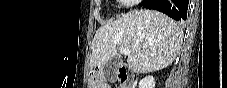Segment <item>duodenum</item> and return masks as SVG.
<instances>
[{
    "instance_id": "duodenum-1",
    "label": "duodenum",
    "mask_w": 227,
    "mask_h": 88,
    "mask_svg": "<svg viewBox=\"0 0 227 88\" xmlns=\"http://www.w3.org/2000/svg\"><path fill=\"white\" fill-rule=\"evenodd\" d=\"M117 71L122 88H136V81L130 69L123 62L117 63Z\"/></svg>"
}]
</instances>
